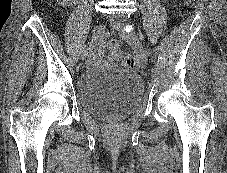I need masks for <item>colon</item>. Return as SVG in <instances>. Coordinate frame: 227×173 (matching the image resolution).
<instances>
[{
    "mask_svg": "<svg viewBox=\"0 0 227 173\" xmlns=\"http://www.w3.org/2000/svg\"><path fill=\"white\" fill-rule=\"evenodd\" d=\"M208 0H186V2L193 7L201 6ZM109 50L115 59L124 62L129 67H135L137 62L130 53H125L119 49L118 42L113 40L109 43Z\"/></svg>",
    "mask_w": 227,
    "mask_h": 173,
    "instance_id": "obj_1",
    "label": "colon"
}]
</instances>
